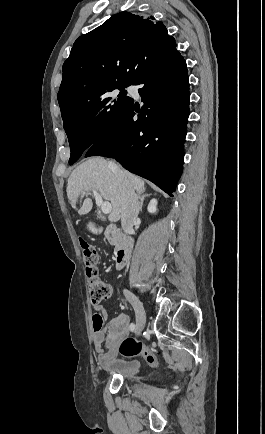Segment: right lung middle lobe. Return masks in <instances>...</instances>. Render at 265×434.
<instances>
[{"label": "right lung middle lobe", "mask_w": 265, "mask_h": 434, "mask_svg": "<svg viewBox=\"0 0 265 434\" xmlns=\"http://www.w3.org/2000/svg\"><path fill=\"white\" fill-rule=\"evenodd\" d=\"M131 84L133 82L108 79L58 98L71 149L70 165L127 113L133 99L126 96L124 88Z\"/></svg>", "instance_id": "obj_1"}]
</instances>
